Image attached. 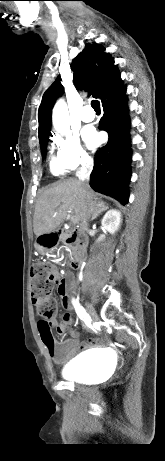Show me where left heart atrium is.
Returning <instances> with one entry per match:
<instances>
[{"instance_id": "1", "label": "left heart atrium", "mask_w": 165, "mask_h": 461, "mask_svg": "<svg viewBox=\"0 0 165 461\" xmlns=\"http://www.w3.org/2000/svg\"><path fill=\"white\" fill-rule=\"evenodd\" d=\"M84 139L90 148H95L100 142V135L94 130H88L84 133Z\"/></svg>"}]
</instances>
